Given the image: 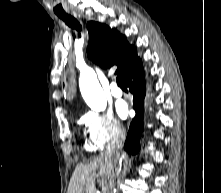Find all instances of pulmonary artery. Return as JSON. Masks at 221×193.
I'll list each match as a JSON object with an SVG mask.
<instances>
[{
  "instance_id": "e3ab8cb5",
  "label": "pulmonary artery",
  "mask_w": 221,
  "mask_h": 193,
  "mask_svg": "<svg viewBox=\"0 0 221 193\" xmlns=\"http://www.w3.org/2000/svg\"><path fill=\"white\" fill-rule=\"evenodd\" d=\"M110 91L114 97H121L123 94L122 90L117 86V84L115 82L111 83Z\"/></svg>"
}]
</instances>
